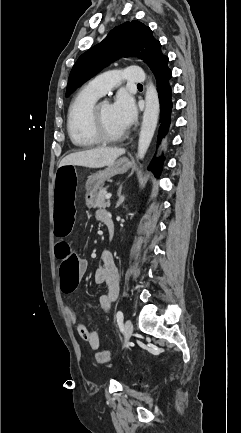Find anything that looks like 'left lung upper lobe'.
Wrapping results in <instances>:
<instances>
[{
    "instance_id": "left-lung-upper-lobe-1",
    "label": "left lung upper lobe",
    "mask_w": 241,
    "mask_h": 433,
    "mask_svg": "<svg viewBox=\"0 0 241 433\" xmlns=\"http://www.w3.org/2000/svg\"><path fill=\"white\" fill-rule=\"evenodd\" d=\"M127 56L143 59L154 75L168 69L169 59L162 54L161 44L151 29L139 21L126 22L78 58L69 76L66 96L116 58Z\"/></svg>"
}]
</instances>
